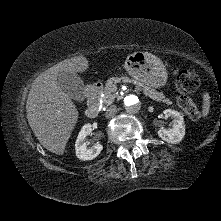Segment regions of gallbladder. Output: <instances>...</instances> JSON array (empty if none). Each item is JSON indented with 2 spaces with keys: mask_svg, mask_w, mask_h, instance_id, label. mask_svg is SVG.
Here are the masks:
<instances>
[{
  "mask_svg": "<svg viewBox=\"0 0 221 221\" xmlns=\"http://www.w3.org/2000/svg\"><path fill=\"white\" fill-rule=\"evenodd\" d=\"M57 83L62 91L76 101H83L84 83L81 78L72 72H61L57 76Z\"/></svg>",
  "mask_w": 221,
  "mask_h": 221,
  "instance_id": "gallbladder-1",
  "label": "gallbladder"
}]
</instances>
